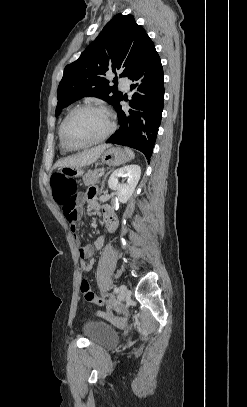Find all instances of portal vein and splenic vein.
I'll return each instance as SVG.
<instances>
[{
  "label": "portal vein and splenic vein",
  "instance_id": "18ae733b",
  "mask_svg": "<svg viewBox=\"0 0 247 407\" xmlns=\"http://www.w3.org/2000/svg\"><path fill=\"white\" fill-rule=\"evenodd\" d=\"M103 175H104V171H101V172L98 174L99 177H101V176H103Z\"/></svg>",
  "mask_w": 247,
  "mask_h": 407
}]
</instances>
